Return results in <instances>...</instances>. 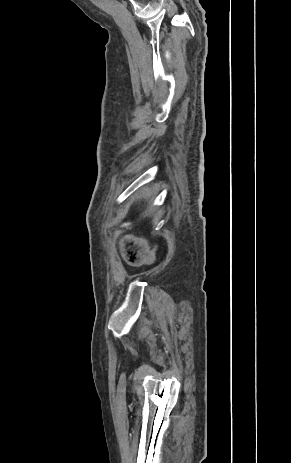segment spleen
<instances>
[{"mask_svg":"<svg viewBox=\"0 0 291 463\" xmlns=\"http://www.w3.org/2000/svg\"><path fill=\"white\" fill-rule=\"evenodd\" d=\"M152 191H153V189L146 187V188H144V189L142 190V193H143L144 195L147 196V195H149Z\"/></svg>","mask_w":291,"mask_h":463,"instance_id":"obj_1","label":"spleen"}]
</instances>
